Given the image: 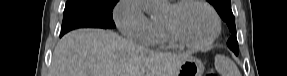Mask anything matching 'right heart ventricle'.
Here are the masks:
<instances>
[{"label":"right heart ventricle","mask_w":287,"mask_h":76,"mask_svg":"<svg viewBox=\"0 0 287 76\" xmlns=\"http://www.w3.org/2000/svg\"><path fill=\"white\" fill-rule=\"evenodd\" d=\"M165 2H166V9L162 12L153 13L149 18L150 33L145 43H147L150 46L169 49L178 47V44L173 40V38L168 32L165 20L166 10L175 1H165Z\"/></svg>","instance_id":"1"}]
</instances>
